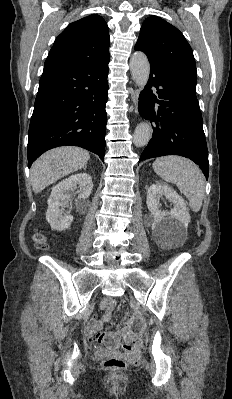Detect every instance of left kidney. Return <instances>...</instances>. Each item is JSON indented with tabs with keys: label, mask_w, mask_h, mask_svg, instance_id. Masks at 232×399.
<instances>
[{
	"label": "left kidney",
	"mask_w": 232,
	"mask_h": 399,
	"mask_svg": "<svg viewBox=\"0 0 232 399\" xmlns=\"http://www.w3.org/2000/svg\"><path fill=\"white\" fill-rule=\"evenodd\" d=\"M167 198L174 207L170 211H161L158 198ZM147 207L153 215L152 235L158 245H182L187 237L190 215L186 203L165 182H156L148 188ZM168 215V217H165Z\"/></svg>",
	"instance_id": "obj_1"
}]
</instances>
